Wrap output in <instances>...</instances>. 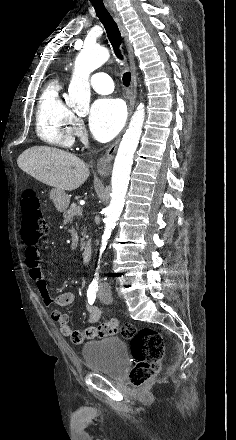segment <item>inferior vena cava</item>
Wrapping results in <instances>:
<instances>
[{"label": "inferior vena cava", "instance_id": "inferior-vena-cava-1", "mask_svg": "<svg viewBox=\"0 0 236 440\" xmlns=\"http://www.w3.org/2000/svg\"><path fill=\"white\" fill-rule=\"evenodd\" d=\"M105 285H106V283H100V287L105 286Z\"/></svg>", "mask_w": 236, "mask_h": 440}]
</instances>
